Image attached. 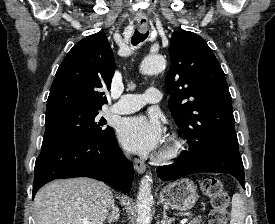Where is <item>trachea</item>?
<instances>
[{
	"label": "trachea",
	"mask_w": 275,
	"mask_h": 224,
	"mask_svg": "<svg viewBox=\"0 0 275 224\" xmlns=\"http://www.w3.org/2000/svg\"><path fill=\"white\" fill-rule=\"evenodd\" d=\"M148 36V32L147 33H140L137 29L134 32V35L132 36V44L133 45H137L140 42H143Z\"/></svg>",
	"instance_id": "1"
}]
</instances>
